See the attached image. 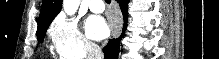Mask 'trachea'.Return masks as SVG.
<instances>
[{
  "instance_id": "trachea-1",
  "label": "trachea",
  "mask_w": 219,
  "mask_h": 59,
  "mask_svg": "<svg viewBox=\"0 0 219 59\" xmlns=\"http://www.w3.org/2000/svg\"><path fill=\"white\" fill-rule=\"evenodd\" d=\"M105 2H106L107 4H110V3H111V0H105Z\"/></svg>"
}]
</instances>
